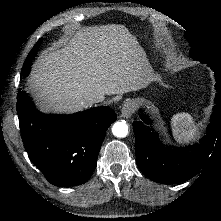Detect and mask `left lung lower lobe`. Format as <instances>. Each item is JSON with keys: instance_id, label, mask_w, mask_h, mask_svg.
<instances>
[{"instance_id": "obj_1", "label": "left lung lower lobe", "mask_w": 221, "mask_h": 221, "mask_svg": "<svg viewBox=\"0 0 221 221\" xmlns=\"http://www.w3.org/2000/svg\"><path fill=\"white\" fill-rule=\"evenodd\" d=\"M216 97L206 136L199 143L185 148L165 147L158 134L149 126L150 120L141 115L142 121L133 123L136 162L151 180L160 183H177L195 176L204 165L215 140L221 139V81L215 84Z\"/></svg>"}]
</instances>
